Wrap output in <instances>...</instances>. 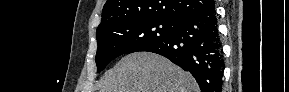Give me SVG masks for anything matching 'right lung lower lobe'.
Masks as SVG:
<instances>
[{"label":"right lung lower lobe","instance_id":"right-lung-lower-lobe-1","mask_svg":"<svg viewBox=\"0 0 289 92\" xmlns=\"http://www.w3.org/2000/svg\"><path fill=\"white\" fill-rule=\"evenodd\" d=\"M140 51L160 54L189 71L201 92L221 91L224 61L215 4L178 19L168 39Z\"/></svg>","mask_w":289,"mask_h":92}]
</instances>
